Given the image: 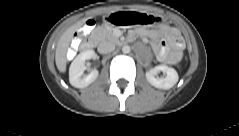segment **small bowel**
<instances>
[{"label":"small bowel","instance_id":"small-bowel-1","mask_svg":"<svg viewBox=\"0 0 239 136\" xmlns=\"http://www.w3.org/2000/svg\"><path fill=\"white\" fill-rule=\"evenodd\" d=\"M133 33L138 35L142 33V30H133ZM169 36L172 39L174 48L169 50L167 42L163 40L156 46V55L160 62L173 65L182 57L181 48L183 42L176 31H170Z\"/></svg>","mask_w":239,"mask_h":136}]
</instances>
